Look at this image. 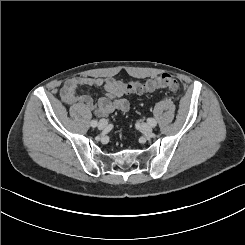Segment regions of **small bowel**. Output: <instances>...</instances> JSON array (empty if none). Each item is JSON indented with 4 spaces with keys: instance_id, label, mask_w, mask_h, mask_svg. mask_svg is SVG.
Returning a JSON list of instances; mask_svg holds the SVG:
<instances>
[{
    "instance_id": "1",
    "label": "small bowel",
    "mask_w": 245,
    "mask_h": 245,
    "mask_svg": "<svg viewBox=\"0 0 245 245\" xmlns=\"http://www.w3.org/2000/svg\"><path fill=\"white\" fill-rule=\"evenodd\" d=\"M83 87L103 88L105 95L97 102L87 94L80 93ZM130 93L126 85L113 77L81 76L68 79L61 89V99L71 107V115L79 124H86L92 114L106 117L114 111L127 112Z\"/></svg>"
}]
</instances>
